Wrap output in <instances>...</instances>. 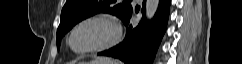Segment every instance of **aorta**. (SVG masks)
I'll return each mask as SVG.
<instances>
[{
  "instance_id": "762f6f07",
  "label": "aorta",
  "mask_w": 242,
  "mask_h": 64,
  "mask_svg": "<svg viewBox=\"0 0 242 64\" xmlns=\"http://www.w3.org/2000/svg\"><path fill=\"white\" fill-rule=\"evenodd\" d=\"M159 6V0H147L146 1V18L151 20Z\"/></svg>"
}]
</instances>
